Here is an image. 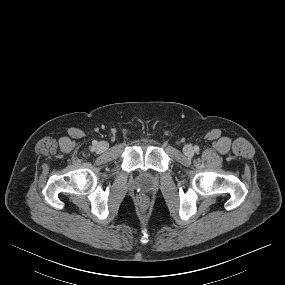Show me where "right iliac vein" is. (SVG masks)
<instances>
[{"mask_svg": "<svg viewBox=\"0 0 285 285\" xmlns=\"http://www.w3.org/2000/svg\"><path fill=\"white\" fill-rule=\"evenodd\" d=\"M108 149V143L107 142H99L97 145V151L104 152Z\"/></svg>", "mask_w": 285, "mask_h": 285, "instance_id": "right-iliac-vein-1", "label": "right iliac vein"}]
</instances>
